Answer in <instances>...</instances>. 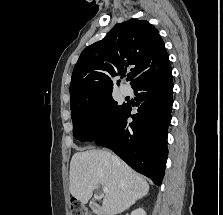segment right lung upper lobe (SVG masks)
I'll return each instance as SVG.
<instances>
[{"mask_svg":"<svg viewBox=\"0 0 223 215\" xmlns=\"http://www.w3.org/2000/svg\"><path fill=\"white\" fill-rule=\"evenodd\" d=\"M129 66L134 67L128 78L132 87L171 69L158 30L146 20L116 24L106 37L82 51L72 74L70 108L112 95L110 76L123 75Z\"/></svg>","mask_w":223,"mask_h":215,"instance_id":"1","label":"right lung upper lobe"}]
</instances>
